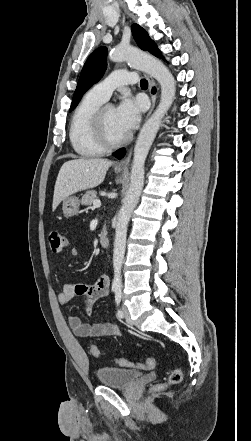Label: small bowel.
<instances>
[{
    "mask_svg": "<svg viewBox=\"0 0 251 441\" xmlns=\"http://www.w3.org/2000/svg\"><path fill=\"white\" fill-rule=\"evenodd\" d=\"M76 256L78 251L76 248L71 250ZM110 280L108 276H100L94 283H77L65 284L63 289L57 294V300L61 305H67L74 297L82 296L89 310L90 306L101 298L109 294ZM68 324L72 332L78 337H97V336H118L119 328L110 322L83 323L78 316L70 315Z\"/></svg>",
    "mask_w": 251,
    "mask_h": 441,
    "instance_id": "c3829d8e",
    "label": "small bowel"
}]
</instances>
